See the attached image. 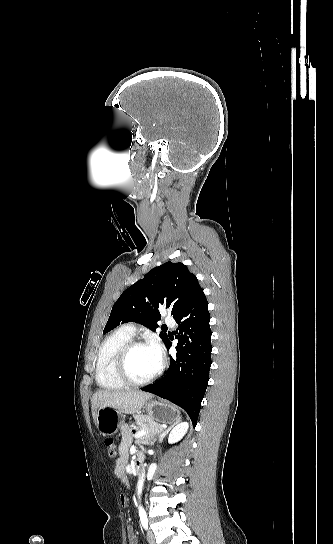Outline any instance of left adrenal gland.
<instances>
[{
  "mask_svg": "<svg viewBox=\"0 0 333 544\" xmlns=\"http://www.w3.org/2000/svg\"><path fill=\"white\" fill-rule=\"evenodd\" d=\"M179 422H180V420H177V422L175 424H177ZM175 424L171 425L166 430L157 433L159 442L163 441V438L169 433V431L174 427Z\"/></svg>",
  "mask_w": 333,
  "mask_h": 544,
  "instance_id": "1",
  "label": "left adrenal gland"
}]
</instances>
